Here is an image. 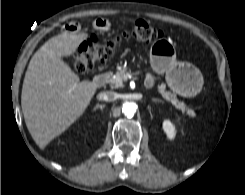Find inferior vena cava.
<instances>
[{
	"mask_svg": "<svg viewBox=\"0 0 245 195\" xmlns=\"http://www.w3.org/2000/svg\"><path fill=\"white\" fill-rule=\"evenodd\" d=\"M97 99L103 101H114L117 99V93L113 91L101 92L97 95Z\"/></svg>",
	"mask_w": 245,
	"mask_h": 195,
	"instance_id": "1",
	"label": "inferior vena cava"
}]
</instances>
